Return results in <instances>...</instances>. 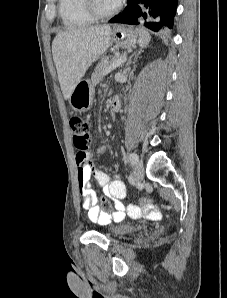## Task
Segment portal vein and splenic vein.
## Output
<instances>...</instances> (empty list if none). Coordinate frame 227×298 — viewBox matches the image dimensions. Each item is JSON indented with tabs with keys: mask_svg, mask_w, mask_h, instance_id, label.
<instances>
[{
	"mask_svg": "<svg viewBox=\"0 0 227 298\" xmlns=\"http://www.w3.org/2000/svg\"><path fill=\"white\" fill-rule=\"evenodd\" d=\"M126 61V56L123 55L120 58L116 59L115 61H113L109 67L105 70V75H107L108 73H110L111 71H113L114 69H116L118 66H120L121 64H123Z\"/></svg>",
	"mask_w": 227,
	"mask_h": 298,
	"instance_id": "18ae733b",
	"label": "portal vein and splenic vein"
}]
</instances>
